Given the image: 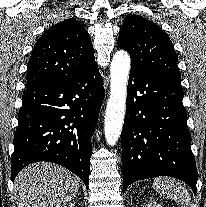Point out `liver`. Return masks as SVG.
I'll list each match as a JSON object with an SVG mask.
<instances>
[{"mask_svg":"<svg viewBox=\"0 0 206 207\" xmlns=\"http://www.w3.org/2000/svg\"><path fill=\"white\" fill-rule=\"evenodd\" d=\"M77 177L65 168L47 162L24 168L15 179L19 207H65L77 194Z\"/></svg>","mask_w":206,"mask_h":207,"instance_id":"liver-1","label":"liver"}]
</instances>
